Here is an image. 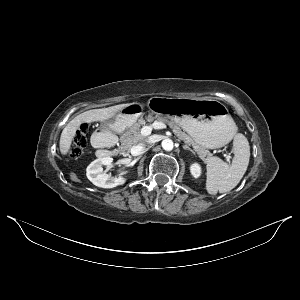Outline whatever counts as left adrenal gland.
I'll return each instance as SVG.
<instances>
[{
  "mask_svg": "<svg viewBox=\"0 0 300 300\" xmlns=\"http://www.w3.org/2000/svg\"><path fill=\"white\" fill-rule=\"evenodd\" d=\"M183 149L189 150L190 152H192L193 154H195L194 150L191 149L188 145H183Z\"/></svg>",
  "mask_w": 300,
  "mask_h": 300,
  "instance_id": "left-adrenal-gland-1",
  "label": "left adrenal gland"
}]
</instances>
